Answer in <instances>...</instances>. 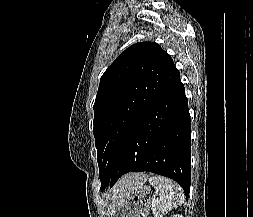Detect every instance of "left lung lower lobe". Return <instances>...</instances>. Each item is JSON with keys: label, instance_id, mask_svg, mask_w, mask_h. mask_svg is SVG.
Returning a JSON list of instances; mask_svg holds the SVG:
<instances>
[{"label": "left lung lower lobe", "instance_id": "1", "mask_svg": "<svg viewBox=\"0 0 253 217\" xmlns=\"http://www.w3.org/2000/svg\"><path fill=\"white\" fill-rule=\"evenodd\" d=\"M190 132L188 100L179 77L130 126L102 190L127 172L149 171L175 180L189 197Z\"/></svg>", "mask_w": 253, "mask_h": 217}]
</instances>
